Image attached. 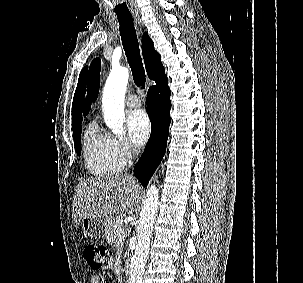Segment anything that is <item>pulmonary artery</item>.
<instances>
[{
	"label": "pulmonary artery",
	"mask_w": 303,
	"mask_h": 283,
	"mask_svg": "<svg viewBox=\"0 0 303 283\" xmlns=\"http://www.w3.org/2000/svg\"><path fill=\"white\" fill-rule=\"evenodd\" d=\"M126 104L130 108H138L141 106V101L136 95H129L126 99Z\"/></svg>",
	"instance_id": "1"
}]
</instances>
